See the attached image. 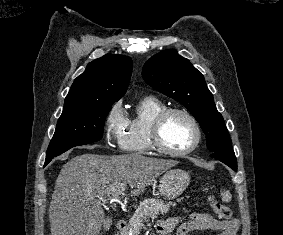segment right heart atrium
<instances>
[{
	"instance_id": "obj_1",
	"label": "right heart atrium",
	"mask_w": 283,
	"mask_h": 235,
	"mask_svg": "<svg viewBox=\"0 0 283 235\" xmlns=\"http://www.w3.org/2000/svg\"><path fill=\"white\" fill-rule=\"evenodd\" d=\"M126 123L127 119L122 105L118 102L113 105L106 118L105 129L108 142L120 144V138Z\"/></svg>"
}]
</instances>
